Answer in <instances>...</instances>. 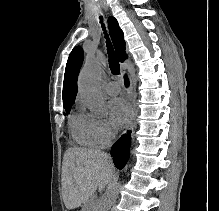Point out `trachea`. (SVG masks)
<instances>
[{
    "label": "trachea",
    "mask_w": 219,
    "mask_h": 211,
    "mask_svg": "<svg viewBox=\"0 0 219 211\" xmlns=\"http://www.w3.org/2000/svg\"><path fill=\"white\" fill-rule=\"evenodd\" d=\"M100 23H102V28L105 30V25L103 24L102 17H100ZM106 33V32H105ZM105 37L107 38V50H108V56H109V67L113 75H119L120 74V65L119 62L115 56L112 44L110 43L108 39V35L106 34Z\"/></svg>",
    "instance_id": "1"
}]
</instances>
